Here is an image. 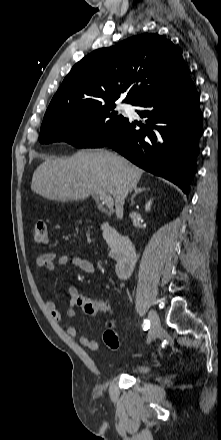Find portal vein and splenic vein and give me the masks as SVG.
<instances>
[{
    "label": "portal vein and splenic vein",
    "mask_w": 221,
    "mask_h": 440,
    "mask_svg": "<svg viewBox=\"0 0 221 440\" xmlns=\"http://www.w3.org/2000/svg\"><path fill=\"white\" fill-rule=\"evenodd\" d=\"M98 197L107 205L109 209L113 208L114 201L109 193L101 192L97 194Z\"/></svg>",
    "instance_id": "portal-vein-and-splenic-vein-1"
}]
</instances>
